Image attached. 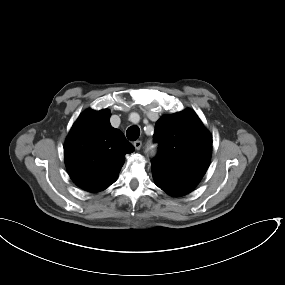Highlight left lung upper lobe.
<instances>
[{"mask_svg": "<svg viewBox=\"0 0 285 285\" xmlns=\"http://www.w3.org/2000/svg\"><path fill=\"white\" fill-rule=\"evenodd\" d=\"M154 140L159 151L151 170L195 185L200 182L211 159L212 136L194 111L162 116L156 123Z\"/></svg>", "mask_w": 285, "mask_h": 285, "instance_id": "5c2ea615", "label": "left lung upper lobe"}]
</instances>
